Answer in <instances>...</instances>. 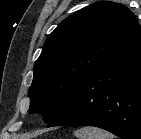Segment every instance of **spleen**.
<instances>
[{"label":"spleen","mask_w":141,"mask_h":139,"mask_svg":"<svg viewBox=\"0 0 141 139\" xmlns=\"http://www.w3.org/2000/svg\"><path fill=\"white\" fill-rule=\"evenodd\" d=\"M78 139H115L113 134L96 127H83L74 132Z\"/></svg>","instance_id":"3e777b00"}]
</instances>
